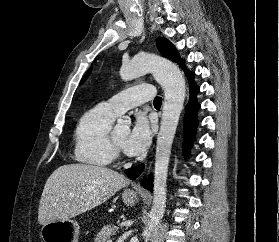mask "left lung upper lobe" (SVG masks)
<instances>
[{
	"label": "left lung upper lobe",
	"mask_w": 279,
	"mask_h": 242,
	"mask_svg": "<svg viewBox=\"0 0 279 242\" xmlns=\"http://www.w3.org/2000/svg\"><path fill=\"white\" fill-rule=\"evenodd\" d=\"M157 48L167 58L174 60L176 62L179 61V54L177 50L167 39L159 38L157 40ZM88 74L89 72L87 73V76Z\"/></svg>",
	"instance_id": "left-lung-upper-lobe-1"
}]
</instances>
